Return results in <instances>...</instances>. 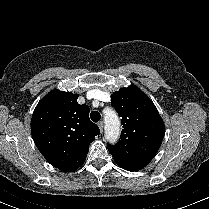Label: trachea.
<instances>
[{"instance_id":"3493384b","label":"trachea","mask_w":209,"mask_h":209,"mask_svg":"<svg viewBox=\"0 0 209 209\" xmlns=\"http://www.w3.org/2000/svg\"><path fill=\"white\" fill-rule=\"evenodd\" d=\"M90 118L93 122H98L101 118V115L97 111H92L91 114H90Z\"/></svg>"}]
</instances>
